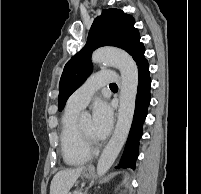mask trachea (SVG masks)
<instances>
[{"label":"trachea","mask_w":201,"mask_h":194,"mask_svg":"<svg viewBox=\"0 0 201 194\" xmlns=\"http://www.w3.org/2000/svg\"><path fill=\"white\" fill-rule=\"evenodd\" d=\"M110 87H117V85L115 83H112L109 85Z\"/></svg>","instance_id":"trachea-1"}]
</instances>
